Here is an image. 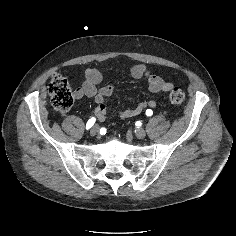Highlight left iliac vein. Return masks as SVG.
<instances>
[{
	"mask_svg": "<svg viewBox=\"0 0 236 236\" xmlns=\"http://www.w3.org/2000/svg\"><path fill=\"white\" fill-rule=\"evenodd\" d=\"M135 136L138 138V139H143L145 138L146 136V132L144 129L142 128H138L135 130Z\"/></svg>",
	"mask_w": 236,
	"mask_h": 236,
	"instance_id": "obj_1",
	"label": "left iliac vein"
}]
</instances>
